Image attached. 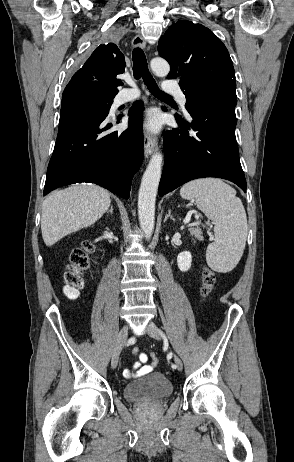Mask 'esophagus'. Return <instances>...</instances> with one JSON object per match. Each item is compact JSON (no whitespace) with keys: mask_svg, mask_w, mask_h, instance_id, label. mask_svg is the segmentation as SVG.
I'll list each match as a JSON object with an SVG mask.
<instances>
[{"mask_svg":"<svg viewBox=\"0 0 294 462\" xmlns=\"http://www.w3.org/2000/svg\"><path fill=\"white\" fill-rule=\"evenodd\" d=\"M132 47L144 48L146 46V40L141 35H136L131 43ZM156 141L153 136L148 133L144 134V153L148 158L155 149Z\"/></svg>","mask_w":294,"mask_h":462,"instance_id":"obj_1","label":"esophagus"}]
</instances>
